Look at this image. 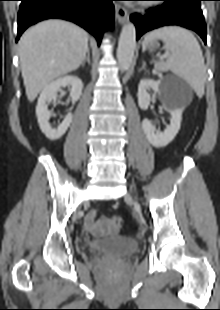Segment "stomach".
I'll use <instances>...</instances> for the list:
<instances>
[{
  "instance_id": "stomach-1",
  "label": "stomach",
  "mask_w": 220,
  "mask_h": 310,
  "mask_svg": "<svg viewBox=\"0 0 220 310\" xmlns=\"http://www.w3.org/2000/svg\"><path fill=\"white\" fill-rule=\"evenodd\" d=\"M155 46H156V42L154 40H152V41L148 42L145 47H147L149 50H152L155 48Z\"/></svg>"
}]
</instances>
